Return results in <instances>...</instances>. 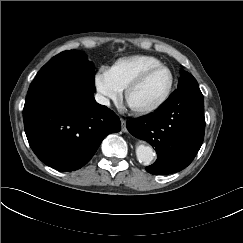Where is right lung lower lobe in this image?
I'll use <instances>...</instances> for the list:
<instances>
[{"mask_svg": "<svg viewBox=\"0 0 243 243\" xmlns=\"http://www.w3.org/2000/svg\"><path fill=\"white\" fill-rule=\"evenodd\" d=\"M94 82L35 77L23 109L30 147L47 166L60 171L83 167L120 119L98 104Z\"/></svg>", "mask_w": 243, "mask_h": 243, "instance_id": "obj_1", "label": "right lung lower lobe"}]
</instances>
